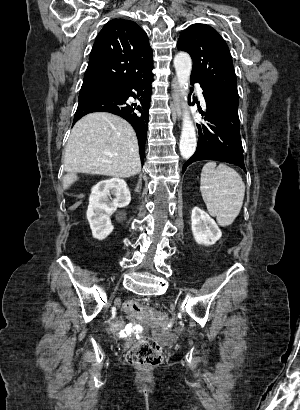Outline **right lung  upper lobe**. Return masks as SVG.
<instances>
[{"label": "right lung upper lobe", "mask_w": 300, "mask_h": 410, "mask_svg": "<svg viewBox=\"0 0 300 410\" xmlns=\"http://www.w3.org/2000/svg\"><path fill=\"white\" fill-rule=\"evenodd\" d=\"M152 57L147 34L135 22L113 19L96 37L84 82H102L117 88L126 79L150 73Z\"/></svg>", "instance_id": "1"}]
</instances>
